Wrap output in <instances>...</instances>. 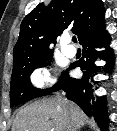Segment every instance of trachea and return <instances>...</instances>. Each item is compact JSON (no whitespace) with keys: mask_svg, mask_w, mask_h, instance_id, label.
<instances>
[{"mask_svg":"<svg viewBox=\"0 0 117 131\" xmlns=\"http://www.w3.org/2000/svg\"><path fill=\"white\" fill-rule=\"evenodd\" d=\"M72 41H73L74 43H77V38H76L75 36H73V37H72Z\"/></svg>","mask_w":117,"mask_h":131,"instance_id":"1","label":"trachea"}]
</instances>
